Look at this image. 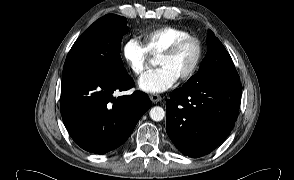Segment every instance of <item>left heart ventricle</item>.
<instances>
[{
    "label": "left heart ventricle",
    "mask_w": 294,
    "mask_h": 180,
    "mask_svg": "<svg viewBox=\"0 0 294 180\" xmlns=\"http://www.w3.org/2000/svg\"><path fill=\"white\" fill-rule=\"evenodd\" d=\"M195 56V45L187 43L175 55L159 57L157 63L160 67L168 68L179 79L190 69Z\"/></svg>",
    "instance_id": "1"
}]
</instances>
